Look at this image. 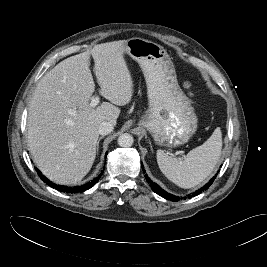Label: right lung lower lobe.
<instances>
[{"label": "right lung lower lobe", "mask_w": 267, "mask_h": 267, "mask_svg": "<svg viewBox=\"0 0 267 267\" xmlns=\"http://www.w3.org/2000/svg\"><path fill=\"white\" fill-rule=\"evenodd\" d=\"M106 156H107V153H106ZM104 169H105V166H104ZM104 169L101 171L100 175L97 178H95L94 180H92L91 182H88L82 186H76V187H65V186H61V185H56V184L50 182L46 177H44L39 170L36 169V171H37L39 177L45 183H47V185L51 186L52 188H55L56 190H59L62 192H67V193H78V192H83V191L88 190L91 187H93L97 183L99 178L102 176Z\"/></svg>", "instance_id": "98d812e1"}]
</instances>
